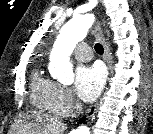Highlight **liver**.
Wrapping results in <instances>:
<instances>
[{
  "label": "liver",
  "mask_w": 153,
  "mask_h": 134,
  "mask_svg": "<svg viewBox=\"0 0 153 134\" xmlns=\"http://www.w3.org/2000/svg\"><path fill=\"white\" fill-rule=\"evenodd\" d=\"M25 116L29 119L34 118V121L32 120L31 122L21 124L18 134H26L27 132H44L43 134L53 132L54 134H57L56 132H63L65 129V126L61 122H58L57 119H54L47 114L31 112L30 115L25 114Z\"/></svg>",
  "instance_id": "liver-1"
}]
</instances>
